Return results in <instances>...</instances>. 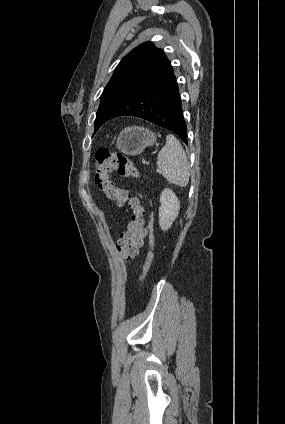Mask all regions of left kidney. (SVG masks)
<instances>
[{
  "mask_svg": "<svg viewBox=\"0 0 285 424\" xmlns=\"http://www.w3.org/2000/svg\"><path fill=\"white\" fill-rule=\"evenodd\" d=\"M160 203L159 226L167 231L179 214L180 201L171 189L166 188L161 193Z\"/></svg>",
  "mask_w": 285,
  "mask_h": 424,
  "instance_id": "1",
  "label": "left kidney"
}]
</instances>
